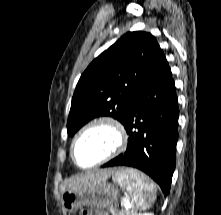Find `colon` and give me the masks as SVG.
I'll return each mask as SVG.
<instances>
[{"label":"colon","mask_w":221,"mask_h":215,"mask_svg":"<svg viewBox=\"0 0 221 215\" xmlns=\"http://www.w3.org/2000/svg\"><path fill=\"white\" fill-rule=\"evenodd\" d=\"M80 215H109V213L96 208H85L81 211Z\"/></svg>","instance_id":"1"}]
</instances>
